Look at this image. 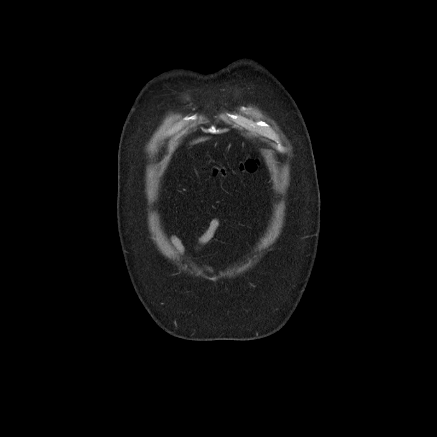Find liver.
Here are the masks:
<instances>
[{
	"label": "liver",
	"mask_w": 437,
	"mask_h": 437,
	"mask_svg": "<svg viewBox=\"0 0 437 437\" xmlns=\"http://www.w3.org/2000/svg\"><path fill=\"white\" fill-rule=\"evenodd\" d=\"M204 140H206V139H199L195 143H198V142H201V141H204Z\"/></svg>",
	"instance_id": "liver-1"
}]
</instances>
